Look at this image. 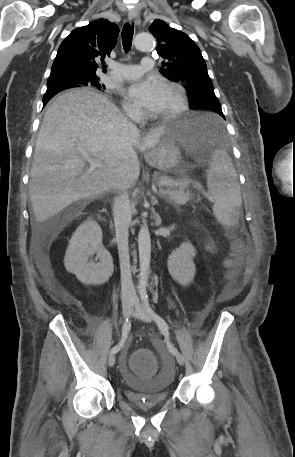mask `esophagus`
Returning <instances> with one entry per match:
<instances>
[{
  "label": "esophagus",
  "instance_id": "34e87169",
  "mask_svg": "<svg viewBox=\"0 0 295 457\" xmlns=\"http://www.w3.org/2000/svg\"><path fill=\"white\" fill-rule=\"evenodd\" d=\"M128 19L131 23L134 22L135 24H139L140 17L138 11L136 9L130 10L128 14Z\"/></svg>",
  "mask_w": 295,
  "mask_h": 457
}]
</instances>
